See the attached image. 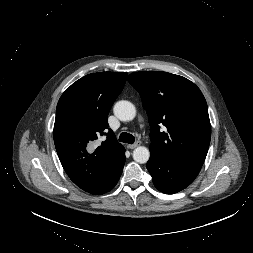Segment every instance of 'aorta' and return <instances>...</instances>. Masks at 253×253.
<instances>
[{
  "mask_svg": "<svg viewBox=\"0 0 253 253\" xmlns=\"http://www.w3.org/2000/svg\"><path fill=\"white\" fill-rule=\"evenodd\" d=\"M114 114L121 121H131L136 116V108L135 106L126 100L118 101L114 105ZM150 158L149 149L144 146H139L133 151V159L137 163L144 164Z\"/></svg>",
  "mask_w": 253,
  "mask_h": 253,
  "instance_id": "762f6f07",
  "label": "aorta"
}]
</instances>
